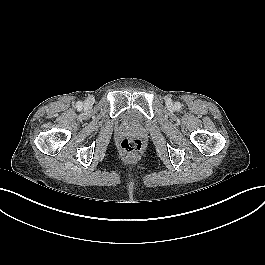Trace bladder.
<instances>
[{"label":"bladder","mask_w":265,"mask_h":265,"mask_svg":"<svg viewBox=\"0 0 265 265\" xmlns=\"http://www.w3.org/2000/svg\"><path fill=\"white\" fill-rule=\"evenodd\" d=\"M122 119L124 123L128 126H134L138 123L140 119V114L137 110L135 109H127L123 115Z\"/></svg>","instance_id":"bladder-1"}]
</instances>
